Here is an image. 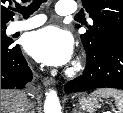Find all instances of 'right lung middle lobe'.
<instances>
[{"label": "right lung middle lobe", "instance_id": "1", "mask_svg": "<svg viewBox=\"0 0 123 113\" xmlns=\"http://www.w3.org/2000/svg\"><path fill=\"white\" fill-rule=\"evenodd\" d=\"M6 27H1V46L9 47L13 41L11 38L6 36Z\"/></svg>", "mask_w": 123, "mask_h": 113}]
</instances>
